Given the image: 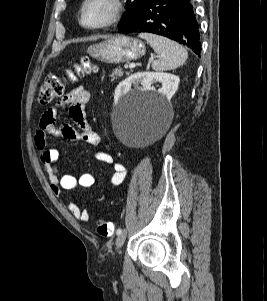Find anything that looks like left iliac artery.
<instances>
[{
	"label": "left iliac artery",
	"mask_w": 267,
	"mask_h": 301,
	"mask_svg": "<svg viewBox=\"0 0 267 301\" xmlns=\"http://www.w3.org/2000/svg\"><path fill=\"white\" fill-rule=\"evenodd\" d=\"M121 232H122L121 228H118L117 231H116L117 234H120Z\"/></svg>",
	"instance_id": "44dca946"
}]
</instances>
